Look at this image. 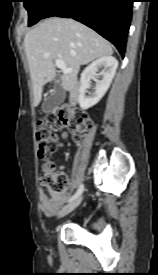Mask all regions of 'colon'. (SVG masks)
<instances>
[{
  "label": "colon",
  "instance_id": "obj_1",
  "mask_svg": "<svg viewBox=\"0 0 158 275\" xmlns=\"http://www.w3.org/2000/svg\"><path fill=\"white\" fill-rule=\"evenodd\" d=\"M91 124L92 121L87 113L80 109H70L67 106L55 107L37 123L36 139L39 157L46 158L55 150L56 134L50 128L51 125L57 129L67 128L78 135L89 129ZM67 181V176L62 171L55 170L52 162H46L40 183L48 188L52 200L63 198Z\"/></svg>",
  "mask_w": 158,
  "mask_h": 275
}]
</instances>
